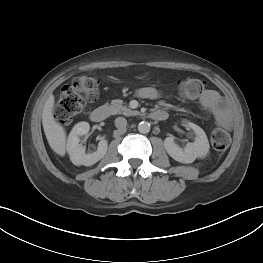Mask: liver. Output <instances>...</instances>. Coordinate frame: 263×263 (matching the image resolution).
<instances>
[{
    "label": "liver",
    "instance_id": "6515ba94",
    "mask_svg": "<svg viewBox=\"0 0 263 263\" xmlns=\"http://www.w3.org/2000/svg\"><path fill=\"white\" fill-rule=\"evenodd\" d=\"M54 103V96L51 94L43 107L42 125L49 146L58 155L64 156L66 153V132L53 117Z\"/></svg>",
    "mask_w": 263,
    "mask_h": 263
}]
</instances>
